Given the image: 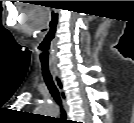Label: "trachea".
I'll return each mask as SVG.
<instances>
[{
    "instance_id": "trachea-1",
    "label": "trachea",
    "mask_w": 134,
    "mask_h": 123,
    "mask_svg": "<svg viewBox=\"0 0 134 123\" xmlns=\"http://www.w3.org/2000/svg\"><path fill=\"white\" fill-rule=\"evenodd\" d=\"M42 51H44V49H42ZM47 56V53H42L41 54V58H44ZM42 65V71H43V78L45 80V83L52 95V97L54 98V100L57 102V104L61 107V115L62 117L65 116V111L62 108V104H61V99H60V93L52 79V76L50 74L49 68H48V64L44 63L43 61L41 62Z\"/></svg>"
}]
</instances>
